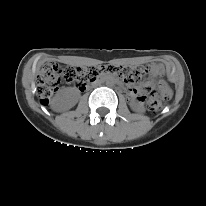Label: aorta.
Instances as JSON below:
<instances>
[{
	"label": "aorta",
	"mask_w": 206,
	"mask_h": 206,
	"mask_svg": "<svg viewBox=\"0 0 206 206\" xmlns=\"http://www.w3.org/2000/svg\"><path fill=\"white\" fill-rule=\"evenodd\" d=\"M106 84H107V85H112V84H113V81H112V80H107V81H106Z\"/></svg>",
	"instance_id": "1"
}]
</instances>
